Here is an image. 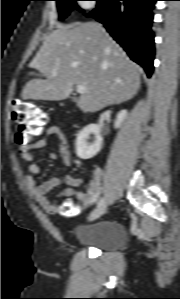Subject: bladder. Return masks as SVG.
Here are the masks:
<instances>
[{
    "instance_id": "obj_1",
    "label": "bladder",
    "mask_w": 180,
    "mask_h": 299,
    "mask_svg": "<svg viewBox=\"0 0 180 299\" xmlns=\"http://www.w3.org/2000/svg\"><path fill=\"white\" fill-rule=\"evenodd\" d=\"M75 240L101 250H117L126 241V231L121 223L107 220L77 229Z\"/></svg>"
}]
</instances>
